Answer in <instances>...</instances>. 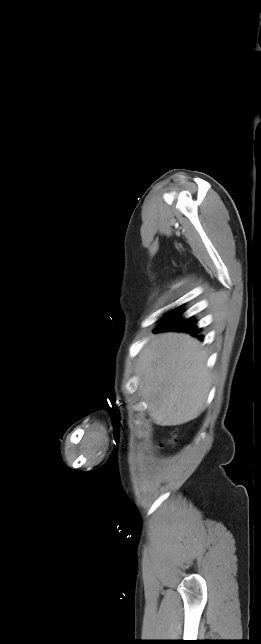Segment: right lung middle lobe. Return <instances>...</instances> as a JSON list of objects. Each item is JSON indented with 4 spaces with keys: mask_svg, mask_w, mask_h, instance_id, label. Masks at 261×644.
<instances>
[{
    "mask_svg": "<svg viewBox=\"0 0 261 644\" xmlns=\"http://www.w3.org/2000/svg\"><path fill=\"white\" fill-rule=\"evenodd\" d=\"M177 309H178V308H177ZM177 309H175V310H177ZM175 310L171 311V312H170V313H168V314H171V313H172V312H174Z\"/></svg>",
    "mask_w": 261,
    "mask_h": 644,
    "instance_id": "obj_1",
    "label": "right lung middle lobe"
}]
</instances>
